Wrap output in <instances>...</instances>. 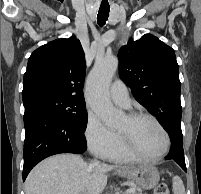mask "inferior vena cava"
Returning a JSON list of instances; mask_svg holds the SVG:
<instances>
[{
	"label": "inferior vena cava",
	"mask_w": 201,
	"mask_h": 194,
	"mask_svg": "<svg viewBox=\"0 0 201 194\" xmlns=\"http://www.w3.org/2000/svg\"><path fill=\"white\" fill-rule=\"evenodd\" d=\"M95 164H99V162L97 160L94 161Z\"/></svg>",
	"instance_id": "1"
}]
</instances>
